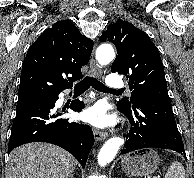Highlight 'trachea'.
Here are the masks:
<instances>
[{"instance_id":"1","label":"trachea","mask_w":194,"mask_h":178,"mask_svg":"<svg viewBox=\"0 0 194 178\" xmlns=\"http://www.w3.org/2000/svg\"><path fill=\"white\" fill-rule=\"evenodd\" d=\"M90 86H92L94 89L101 91V92H117L115 89H110L107 86H105L103 83L98 81L94 77L87 76L84 80L80 81L79 83L75 84L74 91L75 92H84L86 91ZM121 90H118L120 92Z\"/></svg>"}]
</instances>
